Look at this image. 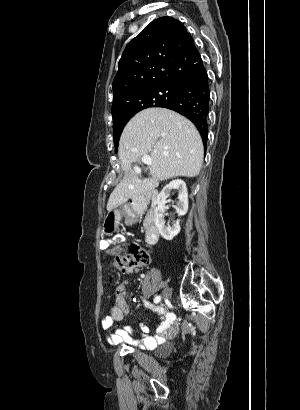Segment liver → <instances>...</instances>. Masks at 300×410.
<instances>
[{"instance_id": "obj_1", "label": "liver", "mask_w": 300, "mask_h": 410, "mask_svg": "<svg viewBox=\"0 0 300 410\" xmlns=\"http://www.w3.org/2000/svg\"><path fill=\"white\" fill-rule=\"evenodd\" d=\"M118 154L125 175L109 197L108 211L153 190L160 181L197 176L204 149L199 132L188 119L169 109L148 108L125 126ZM144 155L152 160L150 179H139L138 167L132 166Z\"/></svg>"}]
</instances>
